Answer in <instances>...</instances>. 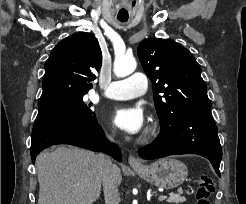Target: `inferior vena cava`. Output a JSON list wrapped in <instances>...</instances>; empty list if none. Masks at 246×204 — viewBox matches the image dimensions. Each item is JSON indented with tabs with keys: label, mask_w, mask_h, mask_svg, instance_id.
<instances>
[{
	"label": "inferior vena cava",
	"mask_w": 246,
	"mask_h": 204,
	"mask_svg": "<svg viewBox=\"0 0 246 204\" xmlns=\"http://www.w3.org/2000/svg\"><path fill=\"white\" fill-rule=\"evenodd\" d=\"M113 141L112 137H109ZM102 160V185L104 191L105 204H119L120 195L115 179L117 166L106 155H100Z\"/></svg>",
	"instance_id": "602c4592"
}]
</instances>
